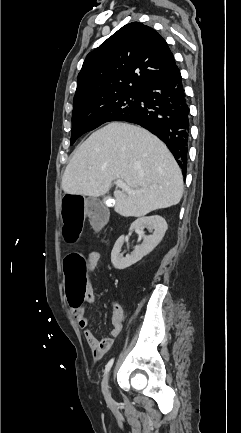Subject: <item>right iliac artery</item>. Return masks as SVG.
Here are the masks:
<instances>
[{
    "instance_id": "82829eb1",
    "label": "right iliac artery",
    "mask_w": 241,
    "mask_h": 433,
    "mask_svg": "<svg viewBox=\"0 0 241 433\" xmlns=\"http://www.w3.org/2000/svg\"><path fill=\"white\" fill-rule=\"evenodd\" d=\"M113 362H114V358H112L108 363H107V365H106V367H105V374H107L108 372H109V370L111 369V367H112V365H113Z\"/></svg>"
}]
</instances>
